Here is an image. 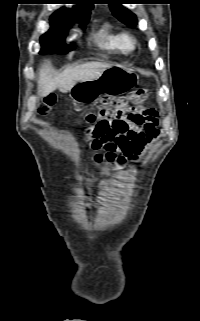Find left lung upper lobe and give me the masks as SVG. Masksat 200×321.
Here are the masks:
<instances>
[{"mask_svg": "<svg viewBox=\"0 0 200 321\" xmlns=\"http://www.w3.org/2000/svg\"><path fill=\"white\" fill-rule=\"evenodd\" d=\"M110 5L112 13L123 23L129 26H135L137 24V18L130 10L122 7V0H106Z\"/></svg>", "mask_w": 200, "mask_h": 321, "instance_id": "5c2ea615", "label": "left lung upper lobe"}]
</instances>
